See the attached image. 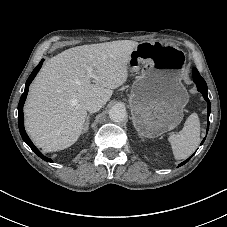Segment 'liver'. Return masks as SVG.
I'll return each instance as SVG.
<instances>
[{"mask_svg": "<svg viewBox=\"0 0 227 227\" xmlns=\"http://www.w3.org/2000/svg\"><path fill=\"white\" fill-rule=\"evenodd\" d=\"M139 43L118 40L67 49L49 59L33 81L24 106L25 128L44 152L63 150L83 133L85 103L105 104L128 77L132 51ZM96 78L88 75V68Z\"/></svg>", "mask_w": 227, "mask_h": 227, "instance_id": "6515ba94", "label": "liver"}]
</instances>
